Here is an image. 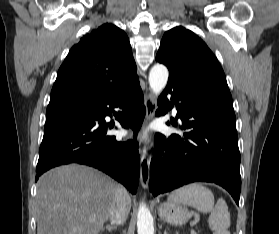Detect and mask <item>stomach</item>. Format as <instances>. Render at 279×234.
Masks as SVG:
<instances>
[{"instance_id":"0dacf381","label":"stomach","mask_w":279,"mask_h":234,"mask_svg":"<svg viewBox=\"0 0 279 234\" xmlns=\"http://www.w3.org/2000/svg\"><path fill=\"white\" fill-rule=\"evenodd\" d=\"M158 214L162 220L172 225H183L190 218V213L177 202H166L158 207Z\"/></svg>"}]
</instances>
